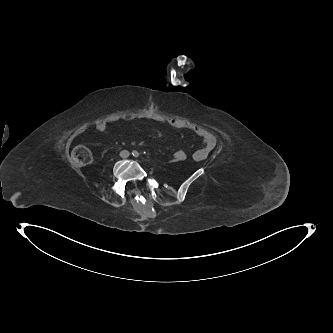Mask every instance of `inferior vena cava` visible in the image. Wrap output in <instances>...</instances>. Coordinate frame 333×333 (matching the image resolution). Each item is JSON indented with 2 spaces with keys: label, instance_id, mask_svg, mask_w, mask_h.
Wrapping results in <instances>:
<instances>
[{
  "label": "inferior vena cava",
  "instance_id": "602c4592",
  "mask_svg": "<svg viewBox=\"0 0 333 333\" xmlns=\"http://www.w3.org/2000/svg\"><path fill=\"white\" fill-rule=\"evenodd\" d=\"M128 156V152H126V155L124 157H127Z\"/></svg>",
  "mask_w": 333,
  "mask_h": 333
}]
</instances>
